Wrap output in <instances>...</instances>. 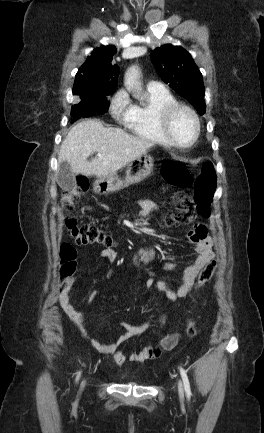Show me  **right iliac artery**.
I'll return each mask as SVG.
<instances>
[{
    "label": "right iliac artery",
    "instance_id": "1",
    "mask_svg": "<svg viewBox=\"0 0 264 433\" xmlns=\"http://www.w3.org/2000/svg\"><path fill=\"white\" fill-rule=\"evenodd\" d=\"M80 374H81V373L79 372L78 375H77L76 381L79 379Z\"/></svg>",
    "mask_w": 264,
    "mask_h": 433
}]
</instances>
